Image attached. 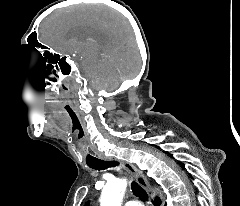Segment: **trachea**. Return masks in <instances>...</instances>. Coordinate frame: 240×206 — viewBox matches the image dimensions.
I'll use <instances>...</instances> for the list:
<instances>
[{
    "instance_id": "obj_1",
    "label": "trachea",
    "mask_w": 240,
    "mask_h": 206,
    "mask_svg": "<svg viewBox=\"0 0 240 206\" xmlns=\"http://www.w3.org/2000/svg\"><path fill=\"white\" fill-rule=\"evenodd\" d=\"M87 165L90 168H93V169H96V170H104V169H107L109 167H116V166L119 165V163L117 161H109L108 162V161L97 159L95 161L87 163ZM131 189H132L134 195L138 196L141 200H143V201L148 200V195H147L146 191L137 182L132 181Z\"/></svg>"
}]
</instances>
